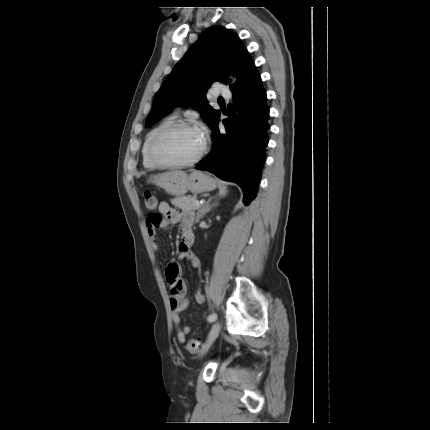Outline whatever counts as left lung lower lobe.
<instances>
[{
	"label": "left lung lower lobe",
	"instance_id": "left-lung-lower-lobe-1",
	"mask_svg": "<svg viewBox=\"0 0 430 430\" xmlns=\"http://www.w3.org/2000/svg\"><path fill=\"white\" fill-rule=\"evenodd\" d=\"M233 96L234 107H228L225 115L229 118L223 120L225 131L218 128L220 112L209 123L213 148L196 169L237 183L243 190V202L248 205L258 189L268 144L269 109L260 75L243 78Z\"/></svg>",
	"mask_w": 430,
	"mask_h": 430
}]
</instances>
